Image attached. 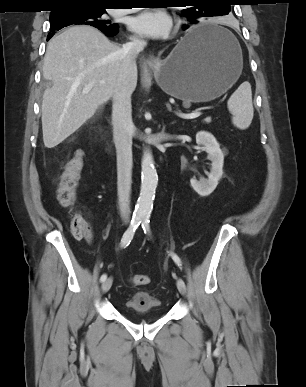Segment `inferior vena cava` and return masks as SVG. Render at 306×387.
Here are the masks:
<instances>
[{"label": "inferior vena cava", "mask_w": 306, "mask_h": 387, "mask_svg": "<svg viewBox=\"0 0 306 387\" xmlns=\"http://www.w3.org/2000/svg\"><path fill=\"white\" fill-rule=\"evenodd\" d=\"M146 42L132 38L121 48L122 65L120 77L113 91L112 120L113 137L117 153V191L118 204L122 219L130 216V194L132 183V106L131 95L134 91L131 74L138 54Z\"/></svg>", "instance_id": "1"}]
</instances>
